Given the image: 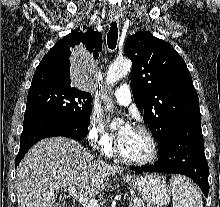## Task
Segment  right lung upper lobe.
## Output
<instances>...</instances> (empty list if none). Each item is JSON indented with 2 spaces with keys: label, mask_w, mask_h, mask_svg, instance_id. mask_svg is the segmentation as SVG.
<instances>
[{
  "label": "right lung upper lobe",
  "mask_w": 220,
  "mask_h": 207,
  "mask_svg": "<svg viewBox=\"0 0 220 207\" xmlns=\"http://www.w3.org/2000/svg\"><path fill=\"white\" fill-rule=\"evenodd\" d=\"M83 28L87 27L83 26ZM79 30L80 27L59 40L42 58L33 75L31 86L41 84L71 86V50L77 45L82 44L95 59L98 57L102 46L101 33L89 27L85 33Z\"/></svg>",
  "instance_id": "cb5924a9"
}]
</instances>
